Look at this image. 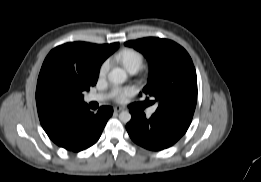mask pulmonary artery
Wrapping results in <instances>:
<instances>
[{
    "label": "pulmonary artery",
    "instance_id": "e3ab8cb5",
    "mask_svg": "<svg viewBox=\"0 0 261 182\" xmlns=\"http://www.w3.org/2000/svg\"><path fill=\"white\" fill-rule=\"evenodd\" d=\"M137 70L136 69H133V70H130L129 72L130 73H135ZM105 99V96L104 95H101V94H89V95H87L86 97H85V101L86 102H94V101H97V102H99V101H102V100H104ZM155 111H156V107L154 106V107H151L148 111H147V114L148 115H152V114H154L155 113Z\"/></svg>",
    "mask_w": 261,
    "mask_h": 182
}]
</instances>
